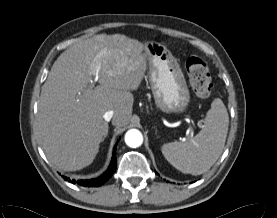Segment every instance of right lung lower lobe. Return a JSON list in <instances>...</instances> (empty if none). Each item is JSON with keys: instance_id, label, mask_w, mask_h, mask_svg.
I'll return each mask as SVG.
<instances>
[{"instance_id": "98d812e1", "label": "right lung lower lobe", "mask_w": 277, "mask_h": 218, "mask_svg": "<svg viewBox=\"0 0 277 218\" xmlns=\"http://www.w3.org/2000/svg\"><path fill=\"white\" fill-rule=\"evenodd\" d=\"M116 146H117V144L113 148L111 164L108 167V170L105 173H103L101 176H99L98 178H95V179H91V180H78L76 182L73 179V180H69V181L71 183H77L79 185L86 186V187H98V186H101L102 184H104L107 180H109V178L113 175V173L116 170V166H117L116 154H115ZM65 180H68V178L65 177Z\"/></svg>"}]
</instances>
